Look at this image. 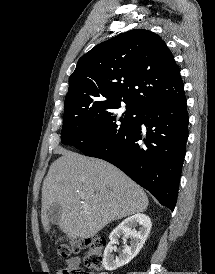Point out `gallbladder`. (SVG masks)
Here are the masks:
<instances>
[{"label": "gallbladder", "instance_id": "gallbladder-1", "mask_svg": "<svg viewBox=\"0 0 215 274\" xmlns=\"http://www.w3.org/2000/svg\"><path fill=\"white\" fill-rule=\"evenodd\" d=\"M48 217L52 224H58L60 216L62 214V208L59 204L54 203L48 209Z\"/></svg>", "mask_w": 215, "mask_h": 274}]
</instances>
